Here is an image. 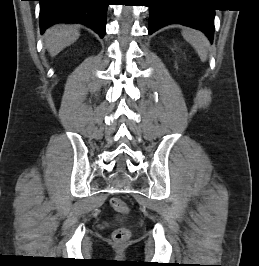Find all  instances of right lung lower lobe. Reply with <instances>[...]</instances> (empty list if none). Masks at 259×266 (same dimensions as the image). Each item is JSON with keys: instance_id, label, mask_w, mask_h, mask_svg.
<instances>
[{"instance_id": "right-lung-lower-lobe-1", "label": "right lung lower lobe", "mask_w": 259, "mask_h": 266, "mask_svg": "<svg viewBox=\"0 0 259 266\" xmlns=\"http://www.w3.org/2000/svg\"><path fill=\"white\" fill-rule=\"evenodd\" d=\"M43 33L56 23H81L101 38L105 35L108 0H39Z\"/></svg>"}]
</instances>
